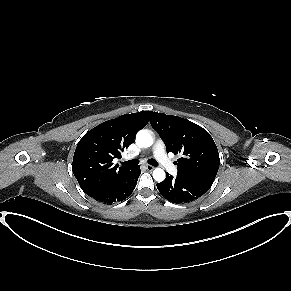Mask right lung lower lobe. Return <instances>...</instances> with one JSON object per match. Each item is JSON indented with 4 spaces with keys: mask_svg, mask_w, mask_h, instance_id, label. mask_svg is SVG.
Instances as JSON below:
<instances>
[{
    "mask_svg": "<svg viewBox=\"0 0 291 291\" xmlns=\"http://www.w3.org/2000/svg\"><path fill=\"white\" fill-rule=\"evenodd\" d=\"M140 173L141 170L139 166L132 167L114 184L92 197L104 204H112L115 202L123 201L125 198L131 195L136 186Z\"/></svg>",
    "mask_w": 291,
    "mask_h": 291,
    "instance_id": "obj_1",
    "label": "right lung lower lobe"
}]
</instances>
